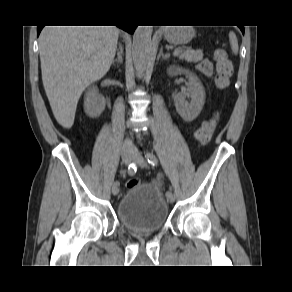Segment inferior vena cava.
Masks as SVG:
<instances>
[{"label": "inferior vena cava", "mask_w": 292, "mask_h": 292, "mask_svg": "<svg viewBox=\"0 0 292 292\" xmlns=\"http://www.w3.org/2000/svg\"><path fill=\"white\" fill-rule=\"evenodd\" d=\"M123 150L124 151H130L133 150V143L131 140L126 139L123 143Z\"/></svg>", "instance_id": "1"}]
</instances>
